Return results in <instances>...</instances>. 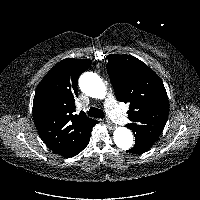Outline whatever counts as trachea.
<instances>
[{"mask_svg":"<svg viewBox=\"0 0 200 200\" xmlns=\"http://www.w3.org/2000/svg\"><path fill=\"white\" fill-rule=\"evenodd\" d=\"M88 116L103 119L104 112L101 109L91 107L88 111Z\"/></svg>","mask_w":200,"mask_h":200,"instance_id":"3493384b","label":"trachea"}]
</instances>
